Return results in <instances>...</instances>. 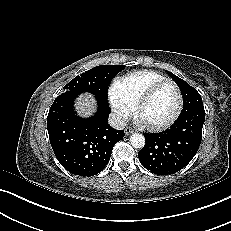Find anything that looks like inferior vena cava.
<instances>
[{"label":"inferior vena cava","mask_w":231,"mask_h":231,"mask_svg":"<svg viewBox=\"0 0 231 231\" xmlns=\"http://www.w3.org/2000/svg\"><path fill=\"white\" fill-rule=\"evenodd\" d=\"M108 122H109L111 127L115 128L117 130H122L127 125V120L117 113H111L109 115Z\"/></svg>","instance_id":"602c4592"}]
</instances>
